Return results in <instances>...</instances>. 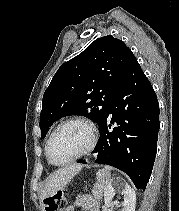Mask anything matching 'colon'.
Listing matches in <instances>:
<instances>
[{"label": "colon", "mask_w": 179, "mask_h": 211, "mask_svg": "<svg viewBox=\"0 0 179 211\" xmlns=\"http://www.w3.org/2000/svg\"><path fill=\"white\" fill-rule=\"evenodd\" d=\"M43 203L45 211H61L65 206L66 200L62 192H56L46 197Z\"/></svg>", "instance_id": "obj_1"}]
</instances>
